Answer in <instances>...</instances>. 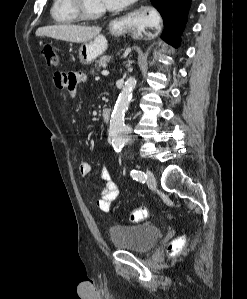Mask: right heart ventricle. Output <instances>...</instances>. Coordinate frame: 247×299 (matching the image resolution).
<instances>
[{
    "instance_id": "e07e8e85",
    "label": "right heart ventricle",
    "mask_w": 247,
    "mask_h": 299,
    "mask_svg": "<svg viewBox=\"0 0 247 299\" xmlns=\"http://www.w3.org/2000/svg\"><path fill=\"white\" fill-rule=\"evenodd\" d=\"M50 15L57 24H73L79 21L71 0H53Z\"/></svg>"
}]
</instances>
